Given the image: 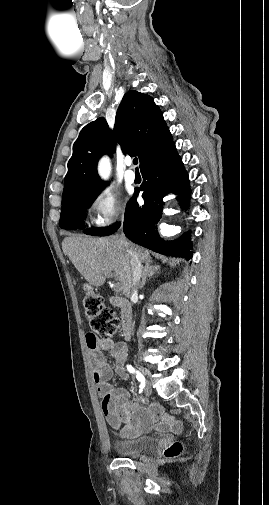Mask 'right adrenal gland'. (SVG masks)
Listing matches in <instances>:
<instances>
[{"label":"right adrenal gland","instance_id":"2a0ac1e0","mask_svg":"<svg viewBox=\"0 0 269 505\" xmlns=\"http://www.w3.org/2000/svg\"><path fill=\"white\" fill-rule=\"evenodd\" d=\"M160 269L159 265H152V259H148L145 262V267L143 270L142 281L140 283V289L144 287L147 277L153 276Z\"/></svg>","mask_w":269,"mask_h":505}]
</instances>
